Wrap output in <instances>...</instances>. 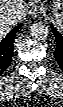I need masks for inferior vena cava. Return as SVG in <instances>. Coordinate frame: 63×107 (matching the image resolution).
<instances>
[{"instance_id": "1", "label": "inferior vena cava", "mask_w": 63, "mask_h": 107, "mask_svg": "<svg viewBox=\"0 0 63 107\" xmlns=\"http://www.w3.org/2000/svg\"><path fill=\"white\" fill-rule=\"evenodd\" d=\"M20 12L16 11L11 17H9V22L14 25L18 22V20L20 19Z\"/></svg>"}]
</instances>
